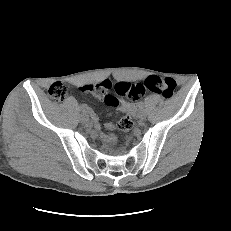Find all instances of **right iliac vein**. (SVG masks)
Masks as SVG:
<instances>
[{
    "instance_id": "1",
    "label": "right iliac vein",
    "mask_w": 231,
    "mask_h": 231,
    "mask_svg": "<svg viewBox=\"0 0 231 231\" xmlns=\"http://www.w3.org/2000/svg\"><path fill=\"white\" fill-rule=\"evenodd\" d=\"M81 121L84 122V123H88L89 122V116L86 112H83L81 114Z\"/></svg>"
}]
</instances>
